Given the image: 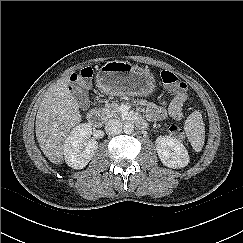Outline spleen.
<instances>
[{
    "label": "spleen",
    "mask_w": 243,
    "mask_h": 243,
    "mask_svg": "<svg viewBox=\"0 0 243 243\" xmlns=\"http://www.w3.org/2000/svg\"><path fill=\"white\" fill-rule=\"evenodd\" d=\"M187 137L196 151H201L205 140V127L199 111L192 112L185 122Z\"/></svg>",
    "instance_id": "obj_1"
}]
</instances>
